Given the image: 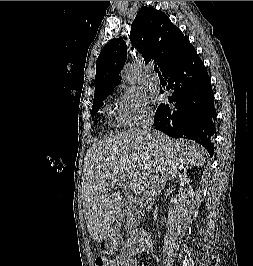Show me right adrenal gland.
<instances>
[{
	"instance_id": "2a0ac1e0",
	"label": "right adrenal gland",
	"mask_w": 253,
	"mask_h": 266,
	"mask_svg": "<svg viewBox=\"0 0 253 266\" xmlns=\"http://www.w3.org/2000/svg\"><path fill=\"white\" fill-rule=\"evenodd\" d=\"M172 178H174V175L173 176H170L167 174L163 175L158 182V186H157L158 192H161L165 188L167 181L171 180Z\"/></svg>"
}]
</instances>
